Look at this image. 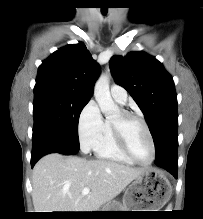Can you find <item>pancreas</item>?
Returning a JSON list of instances; mask_svg holds the SVG:
<instances>
[{
	"label": "pancreas",
	"instance_id": "cf45deb5",
	"mask_svg": "<svg viewBox=\"0 0 203 219\" xmlns=\"http://www.w3.org/2000/svg\"><path fill=\"white\" fill-rule=\"evenodd\" d=\"M110 206V202H108L107 204H105L104 206H103V210H105L106 208H108Z\"/></svg>",
	"mask_w": 203,
	"mask_h": 219
}]
</instances>
